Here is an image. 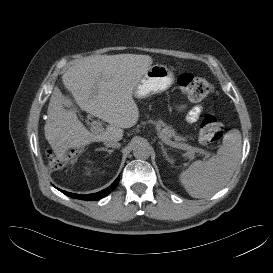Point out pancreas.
Wrapping results in <instances>:
<instances>
[{
    "label": "pancreas",
    "instance_id": "1",
    "mask_svg": "<svg viewBox=\"0 0 273 273\" xmlns=\"http://www.w3.org/2000/svg\"><path fill=\"white\" fill-rule=\"evenodd\" d=\"M154 124L156 126L157 132L159 134H162L167 139L175 138L176 141L184 140V138H182L176 134L175 130L171 126L167 125L162 120H158V121L154 122ZM177 144L182 145V146L186 145L183 143H177Z\"/></svg>",
    "mask_w": 273,
    "mask_h": 273
}]
</instances>
